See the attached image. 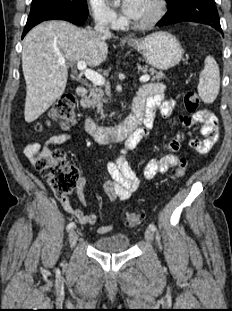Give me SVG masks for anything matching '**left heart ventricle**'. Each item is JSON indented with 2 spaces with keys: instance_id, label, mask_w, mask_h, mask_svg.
Returning <instances> with one entry per match:
<instances>
[{
  "instance_id": "b2bd125f",
  "label": "left heart ventricle",
  "mask_w": 232,
  "mask_h": 311,
  "mask_svg": "<svg viewBox=\"0 0 232 311\" xmlns=\"http://www.w3.org/2000/svg\"><path fill=\"white\" fill-rule=\"evenodd\" d=\"M153 9H154V5H153L152 0H145L142 12L137 18L133 20L136 22H141V21L146 20L152 14Z\"/></svg>"
}]
</instances>
